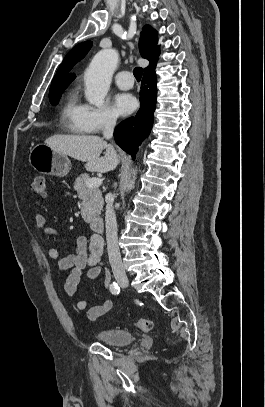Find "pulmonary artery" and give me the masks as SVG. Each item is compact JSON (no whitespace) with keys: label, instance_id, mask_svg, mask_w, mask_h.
Returning <instances> with one entry per match:
<instances>
[{"label":"pulmonary artery","instance_id":"e3ab8cb5","mask_svg":"<svg viewBox=\"0 0 265 407\" xmlns=\"http://www.w3.org/2000/svg\"><path fill=\"white\" fill-rule=\"evenodd\" d=\"M114 80L115 84L122 90L131 89L134 85L132 73L128 70L120 71Z\"/></svg>","mask_w":265,"mask_h":407}]
</instances>
